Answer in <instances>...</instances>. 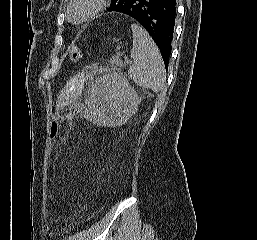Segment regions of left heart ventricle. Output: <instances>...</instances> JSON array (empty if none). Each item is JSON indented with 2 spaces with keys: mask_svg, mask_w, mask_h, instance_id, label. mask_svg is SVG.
<instances>
[{
  "mask_svg": "<svg viewBox=\"0 0 257 240\" xmlns=\"http://www.w3.org/2000/svg\"><path fill=\"white\" fill-rule=\"evenodd\" d=\"M87 9H88V4L82 1L74 5V7L72 8V13L74 17L79 18L86 12Z\"/></svg>",
  "mask_w": 257,
  "mask_h": 240,
  "instance_id": "1",
  "label": "left heart ventricle"
}]
</instances>
